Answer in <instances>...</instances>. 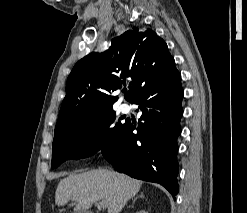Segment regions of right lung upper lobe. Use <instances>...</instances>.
I'll use <instances>...</instances> for the list:
<instances>
[{"instance_id":"obj_1","label":"right lung upper lobe","mask_w":247,"mask_h":213,"mask_svg":"<svg viewBox=\"0 0 247 213\" xmlns=\"http://www.w3.org/2000/svg\"><path fill=\"white\" fill-rule=\"evenodd\" d=\"M175 66L167 44L151 29L132 28L111 41L103 53L79 60L66 84L55 135L90 122L112 109L117 97L109 96L130 80L125 99L130 101L145 85Z\"/></svg>"}]
</instances>
